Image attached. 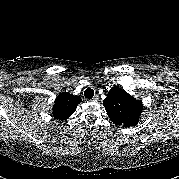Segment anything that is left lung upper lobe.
Listing matches in <instances>:
<instances>
[{
  "instance_id": "5c2ea615",
  "label": "left lung upper lobe",
  "mask_w": 179,
  "mask_h": 179,
  "mask_svg": "<svg viewBox=\"0 0 179 179\" xmlns=\"http://www.w3.org/2000/svg\"><path fill=\"white\" fill-rule=\"evenodd\" d=\"M103 105L111 121L123 127L137 125L143 110L142 101L135 99L118 86L112 87L108 92Z\"/></svg>"
}]
</instances>
